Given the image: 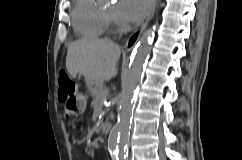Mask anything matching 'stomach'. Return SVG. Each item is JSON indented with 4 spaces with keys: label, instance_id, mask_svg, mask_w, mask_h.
Listing matches in <instances>:
<instances>
[{
    "label": "stomach",
    "instance_id": "1",
    "mask_svg": "<svg viewBox=\"0 0 242 160\" xmlns=\"http://www.w3.org/2000/svg\"><path fill=\"white\" fill-rule=\"evenodd\" d=\"M86 87L90 95L96 96L103 89V83L100 81L87 79Z\"/></svg>",
    "mask_w": 242,
    "mask_h": 160
}]
</instances>
